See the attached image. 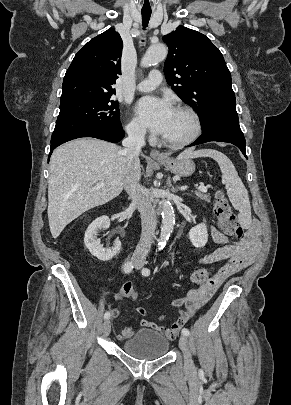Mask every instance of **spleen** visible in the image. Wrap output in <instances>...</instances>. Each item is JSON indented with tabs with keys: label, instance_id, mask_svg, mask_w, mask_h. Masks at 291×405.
I'll return each instance as SVG.
<instances>
[{
	"label": "spleen",
	"instance_id": "obj_1",
	"mask_svg": "<svg viewBox=\"0 0 291 405\" xmlns=\"http://www.w3.org/2000/svg\"><path fill=\"white\" fill-rule=\"evenodd\" d=\"M197 157H211L216 160L222 172V183L225 185L231 204L239 211L240 220H250L251 206L248 192L241 178L238 176L231 160L225 154L213 149H203L198 151L188 149L178 156L179 159Z\"/></svg>",
	"mask_w": 291,
	"mask_h": 405
}]
</instances>
